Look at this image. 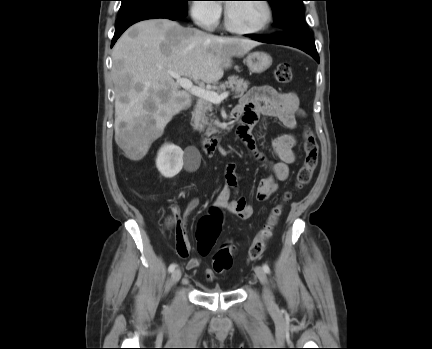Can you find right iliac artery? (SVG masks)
Returning a JSON list of instances; mask_svg holds the SVG:
<instances>
[{"instance_id": "1", "label": "right iliac artery", "mask_w": 432, "mask_h": 349, "mask_svg": "<svg viewBox=\"0 0 432 349\" xmlns=\"http://www.w3.org/2000/svg\"><path fill=\"white\" fill-rule=\"evenodd\" d=\"M175 267H176L175 264H171V265L169 266V268H168V271H169V272H173L174 269H175Z\"/></svg>"}]
</instances>
